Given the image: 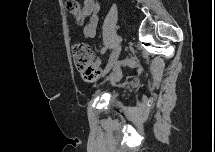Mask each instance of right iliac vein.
Instances as JSON below:
<instances>
[{
  "mask_svg": "<svg viewBox=\"0 0 215 152\" xmlns=\"http://www.w3.org/2000/svg\"><path fill=\"white\" fill-rule=\"evenodd\" d=\"M120 51H121V45L117 46L115 48V50L113 51V53L111 54L108 64L106 66V69L104 71V75H106L114 67V65L116 64V62L118 60Z\"/></svg>",
  "mask_w": 215,
  "mask_h": 152,
  "instance_id": "63e3f726",
  "label": "right iliac vein"
}]
</instances>
